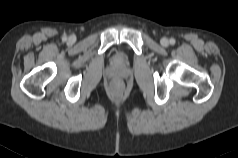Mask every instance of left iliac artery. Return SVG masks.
<instances>
[{
    "label": "left iliac artery",
    "instance_id": "44dca946",
    "mask_svg": "<svg viewBox=\"0 0 238 158\" xmlns=\"http://www.w3.org/2000/svg\"><path fill=\"white\" fill-rule=\"evenodd\" d=\"M169 42H170L171 45H174L176 41H175L174 38H171Z\"/></svg>",
    "mask_w": 238,
    "mask_h": 158
}]
</instances>
